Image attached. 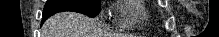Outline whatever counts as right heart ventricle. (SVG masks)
<instances>
[{
  "mask_svg": "<svg viewBox=\"0 0 219 37\" xmlns=\"http://www.w3.org/2000/svg\"><path fill=\"white\" fill-rule=\"evenodd\" d=\"M152 12L145 1L129 0L121 8V25L131 26L146 23Z\"/></svg>",
  "mask_w": 219,
  "mask_h": 37,
  "instance_id": "right-heart-ventricle-1",
  "label": "right heart ventricle"
}]
</instances>
